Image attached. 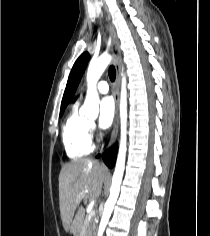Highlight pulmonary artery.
Segmentation results:
<instances>
[{
    "label": "pulmonary artery",
    "mask_w": 210,
    "mask_h": 236,
    "mask_svg": "<svg viewBox=\"0 0 210 236\" xmlns=\"http://www.w3.org/2000/svg\"><path fill=\"white\" fill-rule=\"evenodd\" d=\"M96 89L99 93H102V94L107 93L109 91L108 83L105 81H101L98 83Z\"/></svg>",
    "instance_id": "obj_1"
}]
</instances>
